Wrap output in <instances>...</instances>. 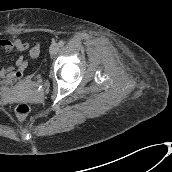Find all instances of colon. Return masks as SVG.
I'll use <instances>...</instances> for the list:
<instances>
[{
	"mask_svg": "<svg viewBox=\"0 0 172 172\" xmlns=\"http://www.w3.org/2000/svg\"><path fill=\"white\" fill-rule=\"evenodd\" d=\"M30 112H31L30 106L25 103H20L15 108V113L20 119L26 118Z\"/></svg>",
	"mask_w": 172,
	"mask_h": 172,
	"instance_id": "obj_1",
	"label": "colon"
}]
</instances>
